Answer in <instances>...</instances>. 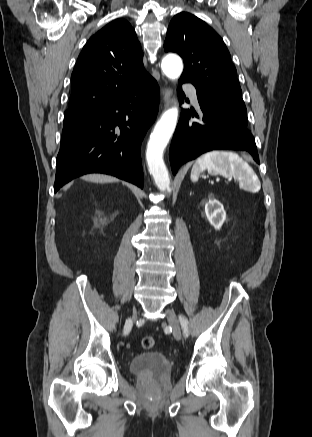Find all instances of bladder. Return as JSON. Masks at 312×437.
Segmentation results:
<instances>
[{
  "label": "bladder",
  "mask_w": 312,
  "mask_h": 437,
  "mask_svg": "<svg viewBox=\"0 0 312 437\" xmlns=\"http://www.w3.org/2000/svg\"><path fill=\"white\" fill-rule=\"evenodd\" d=\"M129 370L135 375L168 376L172 372L170 360L159 351L136 354L129 362Z\"/></svg>",
  "instance_id": "bladder-1"
}]
</instances>
